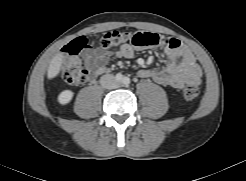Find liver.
<instances>
[{
  "label": "liver",
  "instance_id": "liver-1",
  "mask_svg": "<svg viewBox=\"0 0 246 181\" xmlns=\"http://www.w3.org/2000/svg\"><path fill=\"white\" fill-rule=\"evenodd\" d=\"M62 62H63V54L61 53H58L56 56L52 58L47 71L48 79H53L59 74L61 70Z\"/></svg>",
  "mask_w": 246,
  "mask_h": 181
}]
</instances>
